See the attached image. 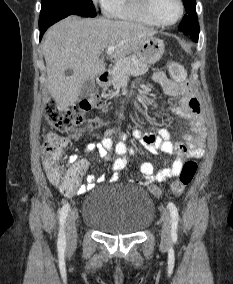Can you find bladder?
Returning <instances> with one entry per match:
<instances>
[{
    "mask_svg": "<svg viewBox=\"0 0 233 284\" xmlns=\"http://www.w3.org/2000/svg\"><path fill=\"white\" fill-rule=\"evenodd\" d=\"M155 205L150 195L136 186L99 189L90 193L83 206V222L109 235H134L152 223Z\"/></svg>",
    "mask_w": 233,
    "mask_h": 284,
    "instance_id": "bladder-1",
    "label": "bladder"
}]
</instances>
